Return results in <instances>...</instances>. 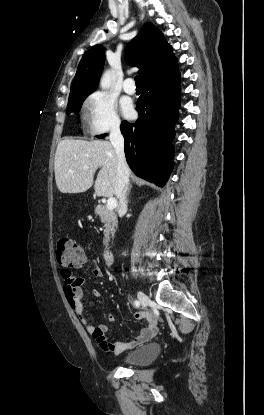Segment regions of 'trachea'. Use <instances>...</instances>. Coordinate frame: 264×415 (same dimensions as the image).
Instances as JSON below:
<instances>
[{
	"label": "trachea",
	"mask_w": 264,
	"mask_h": 415,
	"mask_svg": "<svg viewBox=\"0 0 264 415\" xmlns=\"http://www.w3.org/2000/svg\"><path fill=\"white\" fill-rule=\"evenodd\" d=\"M135 83L137 87H141V79L140 76H136L135 77Z\"/></svg>",
	"instance_id": "trachea-1"
}]
</instances>
